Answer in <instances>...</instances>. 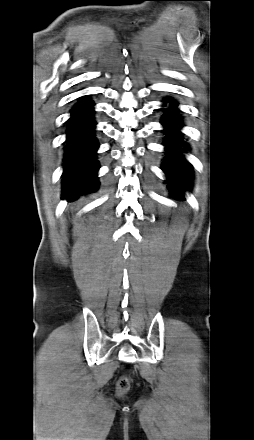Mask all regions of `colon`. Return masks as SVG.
<instances>
[{"label": "colon", "instance_id": "5ec220e1", "mask_svg": "<svg viewBox=\"0 0 254 440\" xmlns=\"http://www.w3.org/2000/svg\"><path fill=\"white\" fill-rule=\"evenodd\" d=\"M131 382L127 377H122L119 379L116 385V391L119 395L124 394L130 388Z\"/></svg>", "mask_w": 254, "mask_h": 440}]
</instances>
